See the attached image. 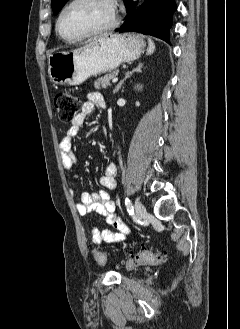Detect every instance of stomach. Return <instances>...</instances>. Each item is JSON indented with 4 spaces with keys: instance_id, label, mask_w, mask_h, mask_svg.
<instances>
[{
    "instance_id": "obj_1",
    "label": "stomach",
    "mask_w": 240,
    "mask_h": 329,
    "mask_svg": "<svg viewBox=\"0 0 240 329\" xmlns=\"http://www.w3.org/2000/svg\"><path fill=\"white\" fill-rule=\"evenodd\" d=\"M144 46L143 39L135 34L104 35L83 50L52 54L48 58L49 76L56 84L79 85L91 76L138 59Z\"/></svg>"
}]
</instances>
